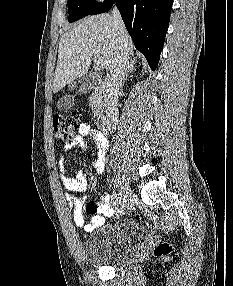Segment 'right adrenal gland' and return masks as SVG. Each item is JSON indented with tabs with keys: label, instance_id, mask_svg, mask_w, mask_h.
I'll return each instance as SVG.
<instances>
[{
	"label": "right adrenal gland",
	"instance_id": "2a0ac1e0",
	"mask_svg": "<svg viewBox=\"0 0 233 286\" xmlns=\"http://www.w3.org/2000/svg\"><path fill=\"white\" fill-rule=\"evenodd\" d=\"M136 63H137V59L135 57L130 60V63H129L127 70H126L125 80H127L129 73L136 70V66H135Z\"/></svg>",
	"mask_w": 233,
	"mask_h": 286
}]
</instances>
